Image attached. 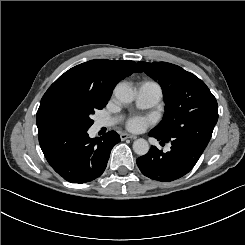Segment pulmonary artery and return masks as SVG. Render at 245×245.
<instances>
[{"mask_svg": "<svg viewBox=\"0 0 245 245\" xmlns=\"http://www.w3.org/2000/svg\"><path fill=\"white\" fill-rule=\"evenodd\" d=\"M161 98V87L154 81H144L136 86L137 105L142 108H149L156 105ZM115 122V119H97L93 125V130L96 132L102 127L110 126Z\"/></svg>", "mask_w": 245, "mask_h": 245, "instance_id": "e3ab8cb5", "label": "pulmonary artery"}]
</instances>
